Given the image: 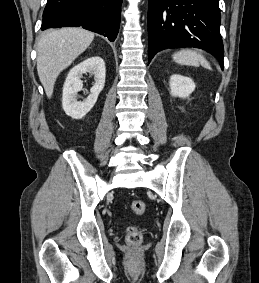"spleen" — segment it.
<instances>
[{
    "instance_id": "3e777b00",
    "label": "spleen",
    "mask_w": 259,
    "mask_h": 283,
    "mask_svg": "<svg viewBox=\"0 0 259 283\" xmlns=\"http://www.w3.org/2000/svg\"><path fill=\"white\" fill-rule=\"evenodd\" d=\"M173 60L180 65H189L195 67H199V65H201L206 69H211L209 62L203 55L190 49H184L176 52L173 55Z\"/></svg>"
}]
</instances>
